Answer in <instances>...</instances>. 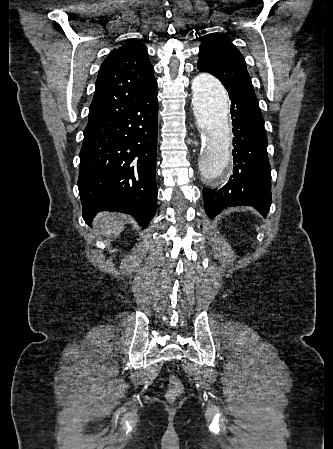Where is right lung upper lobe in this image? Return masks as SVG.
Masks as SVG:
<instances>
[{
	"label": "right lung upper lobe",
	"instance_id": "right-lung-upper-lobe-1",
	"mask_svg": "<svg viewBox=\"0 0 333 449\" xmlns=\"http://www.w3.org/2000/svg\"><path fill=\"white\" fill-rule=\"evenodd\" d=\"M155 89L145 45L135 41L114 49L100 67L88 123L125 109Z\"/></svg>",
	"mask_w": 333,
	"mask_h": 449
}]
</instances>
